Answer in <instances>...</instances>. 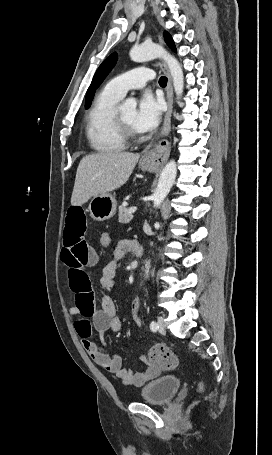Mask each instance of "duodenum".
I'll use <instances>...</instances> for the list:
<instances>
[{"label": "duodenum", "mask_w": 272, "mask_h": 455, "mask_svg": "<svg viewBox=\"0 0 272 455\" xmlns=\"http://www.w3.org/2000/svg\"><path fill=\"white\" fill-rule=\"evenodd\" d=\"M131 251L137 256L140 257L143 254L142 246L139 242L131 240Z\"/></svg>", "instance_id": "410a0bca"}]
</instances>
